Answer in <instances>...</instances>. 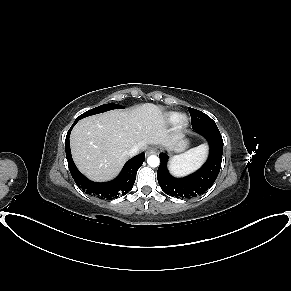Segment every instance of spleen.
I'll use <instances>...</instances> for the list:
<instances>
[{"label":"spleen","mask_w":291,"mask_h":291,"mask_svg":"<svg viewBox=\"0 0 291 291\" xmlns=\"http://www.w3.org/2000/svg\"><path fill=\"white\" fill-rule=\"evenodd\" d=\"M206 156V145H200L181 155L173 156L169 162L170 172L177 177L188 174L199 168Z\"/></svg>","instance_id":"3e777b00"}]
</instances>
